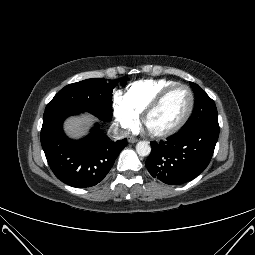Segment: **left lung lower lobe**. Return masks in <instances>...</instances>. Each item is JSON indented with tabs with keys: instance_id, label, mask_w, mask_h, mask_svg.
<instances>
[{
	"instance_id": "obj_1",
	"label": "left lung lower lobe",
	"mask_w": 255,
	"mask_h": 255,
	"mask_svg": "<svg viewBox=\"0 0 255 255\" xmlns=\"http://www.w3.org/2000/svg\"><path fill=\"white\" fill-rule=\"evenodd\" d=\"M219 136V128L179 131L167 141L151 142L146 160L149 173L169 185L191 181L208 166Z\"/></svg>"
}]
</instances>
